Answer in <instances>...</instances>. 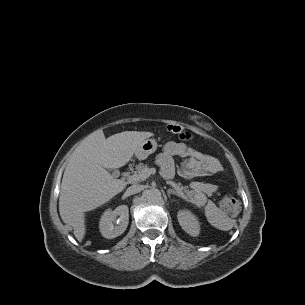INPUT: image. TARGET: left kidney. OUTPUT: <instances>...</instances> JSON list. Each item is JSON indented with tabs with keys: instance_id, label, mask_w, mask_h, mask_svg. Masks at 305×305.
I'll return each instance as SVG.
<instances>
[{
	"instance_id": "5707ae66",
	"label": "left kidney",
	"mask_w": 305,
	"mask_h": 305,
	"mask_svg": "<svg viewBox=\"0 0 305 305\" xmlns=\"http://www.w3.org/2000/svg\"><path fill=\"white\" fill-rule=\"evenodd\" d=\"M178 222L182 229L187 232L189 235L196 237L200 232V223L197 220L196 216L193 215L190 211L181 210L177 214Z\"/></svg>"
}]
</instances>
